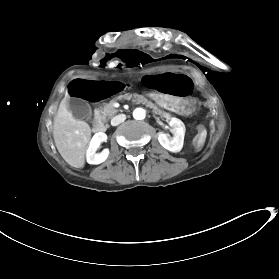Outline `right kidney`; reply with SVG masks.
<instances>
[{"label":"right kidney","instance_id":"1","mask_svg":"<svg viewBox=\"0 0 279 279\" xmlns=\"http://www.w3.org/2000/svg\"><path fill=\"white\" fill-rule=\"evenodd\" d=\"M106 140L107 136L103 132H98L93 136L86 152V158L89 164L97 165L107 159L109 155L108 149L103 150L101 153H96L97 149L100 147V144Z\"/></svg>","mask_w":279,"mask_h":279}]
</instances>
